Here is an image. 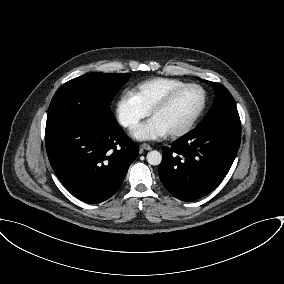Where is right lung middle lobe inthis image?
<instances>
[{
	"mask_svg": "<svg viewBox=\"0 0 284 284\" xmlns=\"http://www.w3.org/2000/svg\"><path fill=\"white\" fill-rule=\"evenodd\" d=\"M129 77L128 73H88L66 82L51 100L45 132L73 122H115L109 105Z\"/></svg>",
	"mask_w": 284,
	"mask_h": 284,
	"instance_id": "dd1d6c3e",
	"label": "right lung middle lobe"
}]
</instances>
